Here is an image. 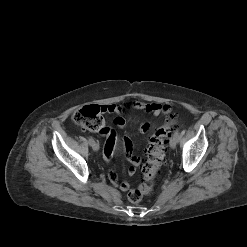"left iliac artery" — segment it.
<instances>
[{"label": "left iliac artery", "instance_id": "obj_1", "mask_svg": "<svg viewBox=\"0 0 247 247\" xmlns=\"http://www.w3.org/2000/svg\"><path fill=\"white\" fill-rule=\"evenodd\" d=\"M174 135L179 139V130L178 129L174 132Z\"/></svg>", "mask_w": 247, "mask_h": 247}]
</instances>
